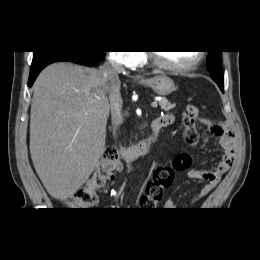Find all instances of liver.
<instances>
[{"label":"liver","mask_w":260,"mask_h":260,"mask_svg":"<svg viewBox=\"0 0 260 260\" xmlns=\"http://www.w3.org/2000/svg\"><path fill=\"white\" fill-rule=\"evenodd\" d=\"M33 89L31 158L47 192L64 200L88 180L104 152L109 84L100 69L58 62L39 74Z\"/></svg>","instance_id":"1"}]
</instances>
